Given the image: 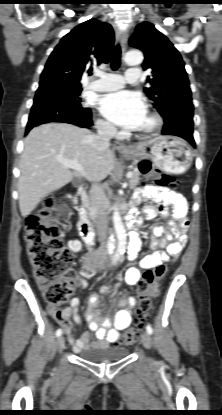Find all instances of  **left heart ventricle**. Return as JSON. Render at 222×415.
I'll use <instances>...</instances> for the list:
<instances>
[{
  "label": "left heart ventricle",
  "instance_id": "left-heart-ventricle-1",
  "mask_svg": "<svg viewBox=\"0 0 222 415\" xmlns=\"http://www.w3.org/2000/svg\"><path fill=\"white\" fill-rule=\"evenodd\" d=\"M150 124H151V121L148 118V116L145 114V116L143 117L141 123L136 128V130H141V129L147 128Z\"/></svg>",
  "mask_w": 222,
  "mask_h": 415
}]
</instances>
